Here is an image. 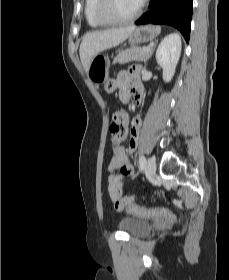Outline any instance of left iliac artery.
Returning <instances> with one entry per match:
<instances>
[{
    "label": "left iliac artery",
    "mask_w": 229,
    "mask_h": 280,
    "mask_svg": "<svg viewBox=\"0 0 229 280\" xmlns=\"http://www.w3.org/2000/svg\"><path fill=\"white\" fill-rule=\"evenodd\" d=\"M139 166L141 170H144L146 167V158L144 157V155H140L139 157Z\"/></svg>",
    "instance_id": "1"
}]
</instances>
